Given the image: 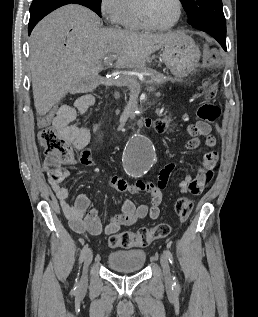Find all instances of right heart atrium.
Returning <instances> with one entry per match:
<instances>
[{"label": "right heart atrium", "instance_id": "right-heart-atrium-1", "mask_svg": "<svg viewBox=\"0 0 258 317\" xmlns=\"http://www.w3.org/2000/svg\"><path fill=\"white\" fill-rule=\"evenodd\" d=\"M99 9L107 26H122L123 0H101Z\"/></svg>", "mask_w": 258, "mask_h": 317}]
</instances>
